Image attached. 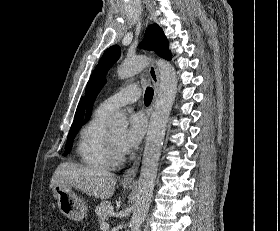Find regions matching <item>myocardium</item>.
<instances>
[{
	"instance_id": "f54148a6",
	"label": "myocardium",
	"mask_w": 280,
	"mask_h": 231,
	"mask_svg": "<svg viewBox=\"0 0 280 231\" xmlns=\"http://www.w3.org/2000/svg\"><path fill=\"white\" fill-rule=\"evenodd\" d=\"M106 143H107V151H108V157H109L110 162L116 163V162L121 161L123 159V155L121 154L119 149L116 147V145L109 133H107Z\"/></svg>"
}]
</instances>
